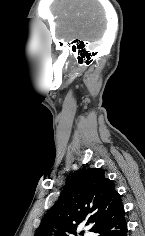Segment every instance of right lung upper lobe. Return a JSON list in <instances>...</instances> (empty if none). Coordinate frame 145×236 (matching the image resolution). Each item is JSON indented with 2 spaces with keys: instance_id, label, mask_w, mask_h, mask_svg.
<instances>
[{
  "instance_id": "1",
  "label": "right lung upper lobe",
  "mask_w": 145,
  "mask_h": 236,
  "mask_svg": "<svg viewBox=\"0 0 145 236\" xmlns=\"http://www.w3.org/2000/svg\"><path fill=\"white\" fill-rule=\"evenodd\" d=\"M122 207L121 197L103 169L80 170L68 180L35 236H76L78 225L87 219L93 223L91 231H95Z\"/></svg>"
}]
</instances>
